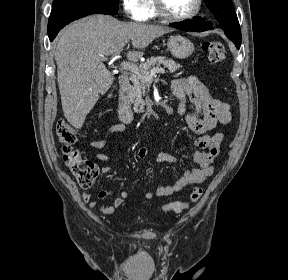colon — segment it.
Masks as SVG:
<instances>
[{
    "instance_id": "1",
    "label": "colon",
    "mask_w": 288,
    "mask_h": 280,
    "mask_svg": "<svg viewBox=\"0 0 288 280\" xmlns=\"http://www.w3.org/2000/svg\"><path fill=\"white\" fill-rule=\"evenodd\" d=\"M202 48L207 53L211 64L216 65L225 60L226 51L222 43L218 41H206L203 43ZM56 134L62 145L64 161L78 184L84 189L91 188L98 176V167L93 161L82 157L79 151L74 149L73 145L77 139L76 130L69 123L61 120L57 123ZM202 192V188L195 187L188 201L168 203L163 206L162 210L164 212L180 213L187 209L191 203L196 202L201 197Z\"/></svg>"
}]
</instances>
